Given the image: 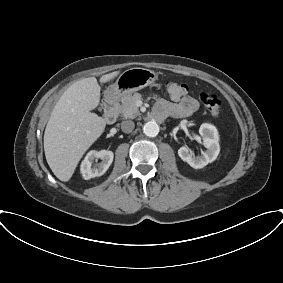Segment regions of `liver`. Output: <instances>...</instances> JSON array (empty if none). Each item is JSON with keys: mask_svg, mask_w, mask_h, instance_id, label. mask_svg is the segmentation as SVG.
<instances>
[{"mask_svg": "<svg viewBox=\"0 0 283 283\" xmlns=\"http://www.w3.org/2000/svg\"><path fill=\"white\" fill-rule=\"evenodd\" d=\"M119 72L100 78L101 83ZM101 88L95 77L73 83L56 103L44 133V151L54 175L67 182L90 146L104 132L106 122L91 110L100 102Z\"/></svg>", "mask_w": 283, "mask_h": 283, "instance_id": "liver-1", "label": "liver"}]
</instances>
